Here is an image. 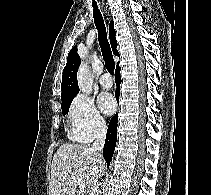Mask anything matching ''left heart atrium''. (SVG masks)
Instances as JSON below:
<instances>
[{
    "mask_svg": "<svg viewBox=\"0 0 211 195\" xmlns=\"http://www.w3.org/2000/svg\"><path fill=\"white\" fill-rule=\"evenodd\" d=\"M98 103L101 110L107 115L113 114L116 110V102L109 93L101 94L98 98Z\"/></svg>",
    "mask_w": 211,
    "mask_h": 195,
    "instance_id": "39dd6f15",
    "label": "left heart atrium"
}]
</instances>
